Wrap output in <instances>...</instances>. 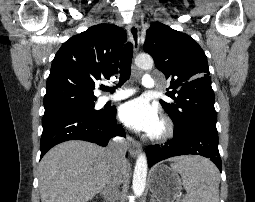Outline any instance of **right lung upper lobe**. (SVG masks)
Wrapping results in <instances>:
<instances>
[{
  "label": "right lung upper lobe",
  "instance_id": "cb5924a9",
  "mask_svg": "<svg viewBox=\"0 0 255 202\" xmlns=\"http://www.w3.org/2000/svg\"><path fill=\"white\" fill-rule=\"evenodd\" d=\"M126 32L113 24H98L74 35L56 53L46 84L45 114L94 103L92 90L118 69Z\"/></svg>",
  "mask_w": 255,
  "mask_h": 202
}]
</instances>
